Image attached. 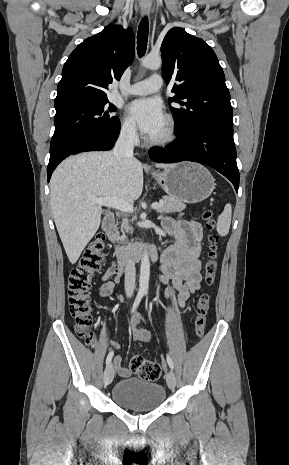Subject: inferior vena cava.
<instances>
[{"instance_id":"602c4592","label":"inferior vena cava","mask_w":289,"mask_h":465,"mask_svg":"<svg viewBox=\"0 0 289 465\" xmlns=\"http://www.w3.org/2000/svg\"><path fill=\"white\" fill-rule=\"evenodd\" d=\"M137 139L136 129L128 127L121 131L119 138L113 149V154L117 160L133 158L134 143ZM126 228V220H124ZM136 268L135 263L129 258L125 266V291L128 297L133 295L135 290Z\"/></svg>"}]
</instances>
